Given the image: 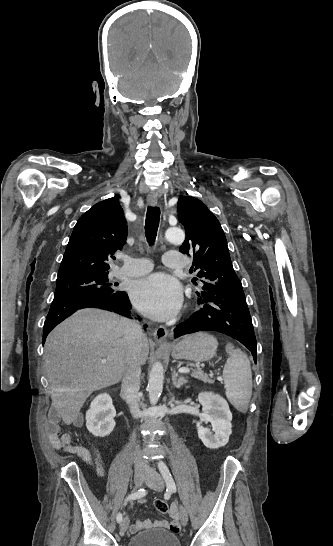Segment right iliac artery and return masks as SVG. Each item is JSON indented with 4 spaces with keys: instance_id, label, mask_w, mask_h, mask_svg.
Masks as SVG:
<instances>
[{
    "instance_id": "obj_1",
    "label": "right iliac artery",
    "mask_w": 333,
    "mask_h": 546,
    "mask_svg": "<svg viewBox=\"0 0 333 546\" xmlns=\"http://www.w3.org/2000/svg\"><path fill=\"white\" fill-rule=\"evenodd\" d=\"M145 495H146V491H145L144 489H140V490H138L137 492H134V493L128 495L127 498L125 499V501L139 499V498H141V497H143V496H145ZM116 519H117V522H118V523H121V521H122V514H121V513H118Z\"/></svg>"
}]
</instances>
